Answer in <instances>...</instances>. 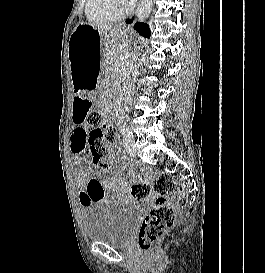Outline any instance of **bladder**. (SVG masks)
I'll return each instance as SVG.
<instances>
[{
	"mask_svg": "<svg viewBox=\"0 0 265 273\" xmlns=\"http://www.w3.org/2000/svg\"><path fill=\"white\" fill-rule=\"evenodd\" d=\"M139 218L137 207L124 203H102L83 210L82 227L89 241L112 247L125 246Z\"/></svg>",
	"mask_w": 265,
	"mask_h": 273,
	"instance_id": "1",
	"label": "bladder"
}]
</instances>
